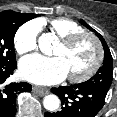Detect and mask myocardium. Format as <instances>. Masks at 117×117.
I'll return each mask as SVG.
<instances>
[{
    "instance_id": "1",
    "label": "myocardium",
    "mask_w": 117,
    "mask_h": 117,
    "mask_svg": "<svg viewBox=\"0 0 117 117\" xmlns=\"http://www.w3.org/2000/svg\"><path fill=\"white\" fill-rule=\"evenodd\" d=\"M83 38H89L94 43L95 50H96V57L93 64L86 71H84L79 75L68 76L70 81L76 82V83L84 82L90 79L99 70L103 62L104 53H103L102 44L100 40L97 38V36H95L91 32L81 31V32L69 34L65 37H62L60 39V43L65 47H71L72 45H74L75 43H77L79 40Z\"/></svg>"
}]
</instances>
